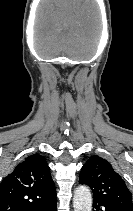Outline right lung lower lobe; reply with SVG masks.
I'll return each mask as SVG.
<instances>
[{
  "label": "right lung lower lobe",
  "instance_id": "1",
  "mask_svg": "<svg viewBox=\"0 0 133 211\" xmlns=\"http://www.w3.org/2000/svg\"><path fill=\"white\" fill-rule=\"evenodd\" d=\"M35 211H56V198L52 199V201L38 207Z\"/></svg>",
  "mask_w": 133,
  "mask_h": 211
}]
</instances>
